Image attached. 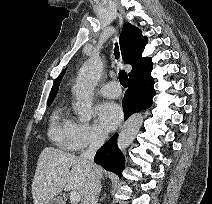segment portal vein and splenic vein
I'll return each instance as SVG.
<instances>
[{"label":"portal vein and splenic vein","mask_w":212,"mask_h":204,"mask_svg":"<svg viewBox=\"0 0 212 204\" xmlns=\"http://www.w3.org/2000/svg\"><path fill=\"white\" fill-rule=\"evenodd\" d=\"M69 197L73 204H77L80 201V194L77 191H71Z\"/></svg>","instance_id":"portal-vein-and-splenic-vein-1"}]
</instances>
